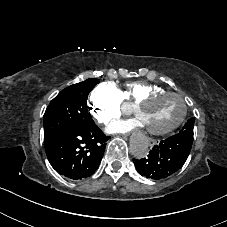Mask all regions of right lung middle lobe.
<instances>
[{
  "mask_svg": "<svg viewBox=\"0 0 227 227\" xmlns=\"http://www.w3.org/2000/svg\"><path fill=\"white\" fill-rule=\"evenodd\" d=\"M97 79H87L62 90L47 107L44 120V140L56 133L78 126L93 124L86 105L88 94L98 84Z\"/></svg>",
  "mask_w": 227,
  "mask_h": 227,
  "instance_id": "1",
  "label": "right lung middle lobe"
}]
</instances>
